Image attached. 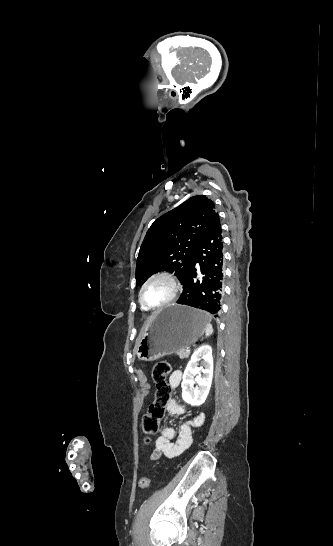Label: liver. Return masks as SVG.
Instances as JSON below:
<instances>
[{
	"label": "liver",
	"instance_id": "liver-1",
	"mask_svg": "<svg viewBox=\"0 0 333 546\" xmlns=\"http://www.w3.org/2000/svg\"><path fill=\"white\" fill-rule=\"evenodd\" d=\"M152 318H153V317H150V319L148 320V323H147V325L145 326V330H147V328H148V326H149V323H150V321H151Z\"/></svg>",
	"mask_w": 333,
	"mask_h": 546
}]
</instances>
